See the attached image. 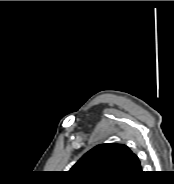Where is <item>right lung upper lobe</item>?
<instances>
[{
    "mask_svg": "<svg viewBox=\"0 0 174 184\" xmlns=\"http://www.w3.org/2000/svg\"><path fill=\"white\" fill-rule=\"evenodd\" d=\"M87 182H123L141 174L138 157L125 145L101 144L88 151L70 171Z\"/></svg>",
    "mask_w": 174,
    "mask_h": 184,
    "instance_id": "cb5924a9",
    "label": "right lung upper lobe"
}]
</instances>
